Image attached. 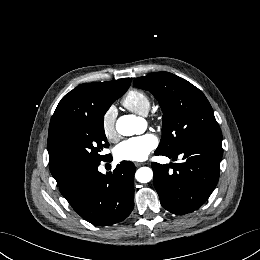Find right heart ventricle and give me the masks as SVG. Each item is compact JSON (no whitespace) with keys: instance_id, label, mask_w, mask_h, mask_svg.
Segmentation results:
<instances>
[{"instance_id":"e07e8e85","label":"right heart ventricle","mask_w":260,"mask_h":260,"mask_svg":"<svg viewBox=\"0 0 260 260\" xmlns=\"http://www.w3.org/2000/svg\"><path fill=\"white\" fill-rule=\"evenodd\" d=\"M122 104L132 112L145 115L151 107V99L146 92L132 89L124 96Z\"/></svg>"}]
</instances>
